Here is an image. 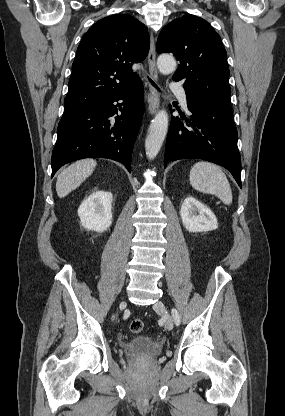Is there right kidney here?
Returning a JSON list of instances; mask_svg holds the SVG:
<instances>
[{"instance_id":"ca27d5eb","label":"right kidney","mask_w":285,"mask_h":416,"mask_svg":"<svg viewBox=\"0 0 285 416\" xmlns=\"http://www.w3.org/2000/svg\"><path fill=\"white\" fill-rule=\"evenodd\" d=\"M112 194L96 190L78 208L83 228L94 232H105L112 224Z\"/></svg>"}]
</instances>
